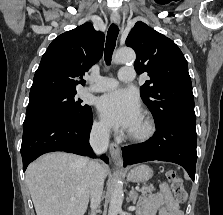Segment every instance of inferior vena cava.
<instances>
[{"label": "inferior vena cava", "mask_w": 223, "mask_h": 215, "mask_svg": "<svg viewBox=\"0 0 223 215\" xmlns=\"http://www.w3.org/2000/svg\"><path fill=\"white\" fill-rule=\"evenodd\" d=\"M108 127H93L90 133V145L96 153L107 151L109 145ZM91 207L96 209L101 201L104 185V169L98 159H89ZM91 215H95L92 211Z\"/></svg>", "instance_id": "1"}]
</instances>
